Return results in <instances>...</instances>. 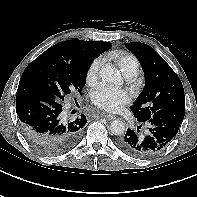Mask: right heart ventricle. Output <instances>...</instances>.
Returning <instances> with one entry per match:
<instances>
[{"label":"right heart ventricle","instance_id":"right-heart-ventricle-1","mask_svg":"<svg viewBox=\"0 0 197 197\" xmlns=\"http://www.w3.org/2000/svg\"><path fill=\"white\" fill-rule=\"evenodd\" d=\"M116 62L125 76H136L140 71V63L138 59L126 52H117L114 55Z\"/></svg>","mask_w":197,"mask_h":197}]
</instances>
